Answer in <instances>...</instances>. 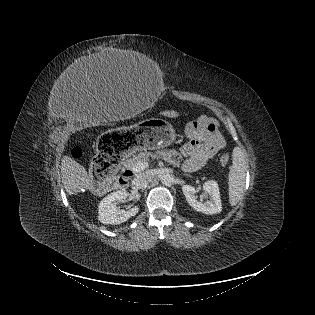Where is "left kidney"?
I'll return each instance as SVG.
<instances>
[{
    "label": "left kidney",
    "mask_w": 315,
    "mask_h": 315,
    "mask_svg": "<svg viewBox=\"0 0 315 315\" xmlns=\"http://www.w3.org/2000/svg\"><path fill=\"white\" fill-rule=\"evenodd\" d=\"M203 190L209 195V200H197L196 193L198 190L190 185L182 187L183 194L188 204L196 211L204 214H216L222 211V204L220 199L219 187L216 181L209 180L204 183Z\"/></svg>",
    "instance_id": "left-kidney-1"
}]
</instances>
